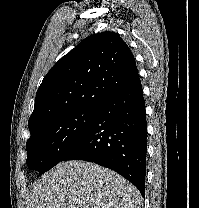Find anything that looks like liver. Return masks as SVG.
Here are the masks:
<instances>
[{"mask_svg":"<svg viewBox=\"0 0 199 208\" xmlns=\"http://www.w3.org/2000/svg\"><path fill=\"white\" fill-rule=\"evenodd\" d=\"M138 189L114 171L86 161L60 162L34 184L28 208H139Z\"/></svg>","mask_w":199,"mask_h":208,"instance_id":"6515ba94","label":"liver"}]
</instances>
